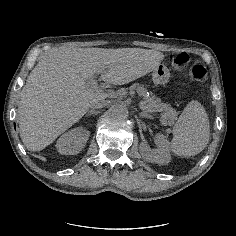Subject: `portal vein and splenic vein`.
<instances>
[{
	"label": "portal vein and splenic vein",
	"instance_id": "obj_1",
	"mask_svg": "<svg viewBox=\"0 0 236 236\" xmlns=\"http://www.w3.org/2000/svg\"><path fill=\"white\" fill-rule=\"evenodd\" d=\"M87 86L88 87H96L98 85V80H97V77L96 76H93V77H90L88 79V81L86 82ZM121 92L120 91H117L115 96L119 97L121 96Z\"/></svg>",
	"mask_w": 236,
	"mask_h": 236
}]
</instances>
